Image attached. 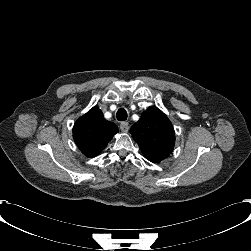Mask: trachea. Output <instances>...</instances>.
Wrapping results in <instances>:
<instances>
[{"instance_id":"3493384b","label":"trachea","mask_w":251,"mask_h":251,"mask_svg":"<svg viewBox=\"0 0 251 251\" xmlns=\"http://www.w3.org/2000/svg\"><path fill=\"white\" fill-rule=\"evenodd\" d=\"M118 121H125L127 119V112L124 108H120L116 113Z\"/></svg>"}]
</instances>
